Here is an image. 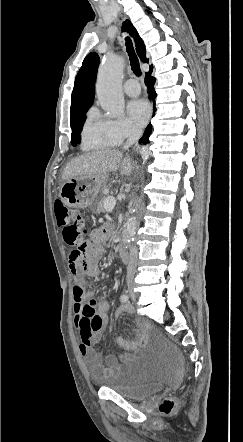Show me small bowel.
<instances>
[{
    "mask_svg": "<svg viewBox=\"0 0 243 442\" xmlns=\"http://www.w3.org/2000/svg\"><path fill=\"white\" fill-rule=\"evenodd\" d=\"M112 233L109 223L91 231L89 242L85 246L84 259L79 263L68 261L69 269L76 278L73 286L75 324L78 328V352L83 359L90 376L94 381H101L108 377L117 367L119 360L129 356L128 353L116 357L108 355L102 357L95 350V345L100 343L108 320L110 302L107 299L94 298L92 291L88 290L83 276L95 278L99 275V263L105 254V243ZM89 288H94V283H89ZM122 312H131L129 304L122 306ZM150 326L138 321V331L135 340H127L121 336L116 338L119 347L126 351L136 350L144 346L148 339Z\"/></svg>",
    "mask_w": 243,
    "mask_h": 442,
    "instance_id": "small-bowel-1",
    "label": "small bowel"
}]
</instances>
